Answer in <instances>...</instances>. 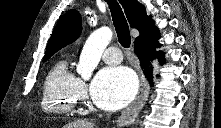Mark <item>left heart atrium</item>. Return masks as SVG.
<instances>
[{
  "mask_svg": "<svg viewBox=\"0 0 221 128\" xmlns=\"http://www.w3.org/2000/svg\"><path fill=\"white\" fill-rule=\"evenodd\" d=\"M137 78L125 67L102 69L91 86L94 102L106 110H116L127 105L136 95Z\"/></svg>",
  "mask_w": 221,
  "mask_h": 128,
  "instance_id": "obj_1",
  "label": "left heart atrium"
}]
</instances>
